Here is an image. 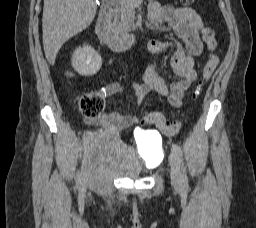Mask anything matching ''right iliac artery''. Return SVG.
Returning a JSON list of instances; mask_svg holds the SVG:
<instances>
[{
    "label": "right iliac artery",
    "instance_id": "right-iliac-artery-1",
    "mask_svg": "<svg viewBox=\"0 0 256 228\" xmlns=\"http://www.w3.org/2000/svg\"><path fill=\"white\" fill-rule=\"evenodd\" d=\"M89 137H90V134L86 133L85 136L82 137V143H86V141L89 140ZM76 181H77V183L81 182V178H80V173L79 172L76 175Z\"/></svg>",
    "mask_w": 256,
    "mask_h": 228
}]
</instances>
